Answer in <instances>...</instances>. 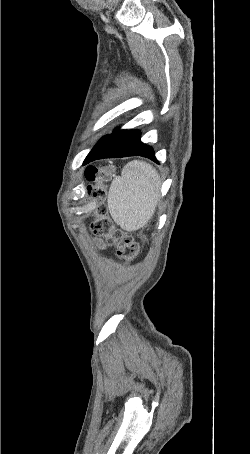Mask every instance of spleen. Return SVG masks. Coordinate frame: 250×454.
I'll list each match as a JSON object with an SVG mask.
<instances>
[{"label": "spleen", "instance_id": "3e777b00", "mask_svg": "<svg viewBox=\"0 0 250 454\" xmlns=\"http://www.w3.org/2000/svg\"><path fill=\"white\" fill-rule=\"evenodd\" d=\"M159 187V175L151 165L137 160L127 163L108 193L113 220L128 232L145 227L154 215Z\"/></svg>", "mask_w": 250, "mask_h": 454}]
</instances>
